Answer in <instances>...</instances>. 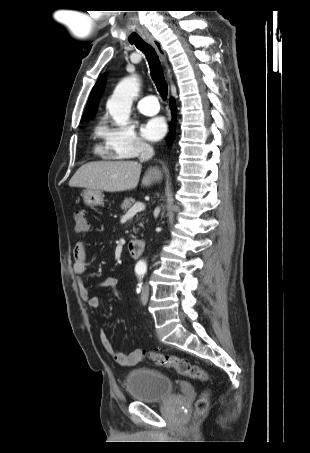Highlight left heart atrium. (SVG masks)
<instances>
[{
  "label": "left heart atrium",
  "instance_id": "obj_1",
  "mask_svg": "<svg viewBox=\"0 0 310 453\" xmlns=\"http://www.w3.org/2000/svg\"><path fill=\"white\" fill-rule=\"evenodd\" d=\"M167 130V125L162 117L149 119L141 128V133L144 138L150 141L161 139Z\"/></svg>",
  "mask_w": 310,
  "mask_h": 453
}]
</instances>
